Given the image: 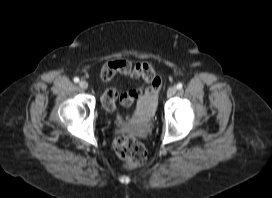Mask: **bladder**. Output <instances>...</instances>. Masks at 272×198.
<instances>
[{
    "label": "bladder",
    "mask_w": 272,
    "mask_h": 198,
    "mask_svg": "<svg viewBox=\"0 0 272 198\" xmlns=\"http://www.w3.org/2000/svg\"><path fill=\"white\" fill-rule=\"evenodd\" d=\"M155 111V100H146L138 104L134 116L138 121L142 123H147L154 116Z\"/></svg>",
    "instance_id": "obj_1"
}]
</instances>
